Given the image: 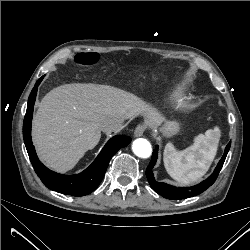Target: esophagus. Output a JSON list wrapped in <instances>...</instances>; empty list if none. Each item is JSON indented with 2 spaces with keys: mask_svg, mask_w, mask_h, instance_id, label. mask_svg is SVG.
<instances>
[{
  "mask_svg": "<svg viewBox=\"0 0 250 250\" xmlns=\"http://www.w3.org/2000/svg\"><path fill=\"white\" fill-rule=\"evenodd\" d=\"M146 130V126L144 124H139L134 131V136L135 137H140L144 134Z\"/></svg>",
  "mask_w": 250,
  "mask_h": 250,
  "instance_id": "obj_1",
  "label": "esophagus"
}]
</instances>
